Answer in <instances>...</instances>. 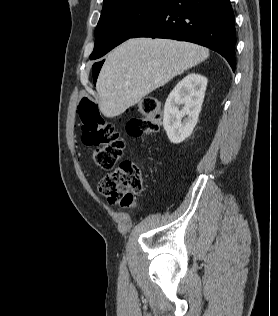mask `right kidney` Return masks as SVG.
Here are the masks:
<instances>
[{
  "instance_id": "1",
  "label": "right kidney",
  "mask_w": 278,
  "mask_h": 316,
  "mask_svg": "<svg viewBox=\"0 0 278 316\" xmlns=\"http://www.w3.org/2000/svg\"><path fill=\"white\" fill-rule=\"evenodd\" d=\"M207 82L206 77L191 73L169 94L164 106L163 127L171 143L179 144L192 134L201 111ZM180 104H184L181 110Z\"/></svg>"
}]
</instances>
